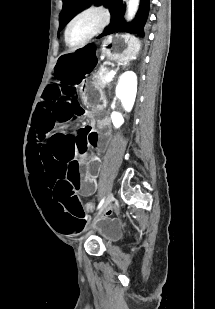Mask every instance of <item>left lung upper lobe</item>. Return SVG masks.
Segmentation results:
<instances>
[{"mask_svg": "<svg viewBox=\"0 0 215 309\" xmlns=\"http://www.w3.org/2000/svg\"><path fill=\"white\" fill-rule=\"evenodd\" d=\"M149 1L140 0L139 10L135 19L126 23L124 13L126 6L121 0H63V10L60 13V30L71 20V18L91 3H103L110 8L111 23L105 31L99 36L112 34L120 31H128L139 37L145 36L144 27L147 23L149 14Z\"/></svg>", "mask_w": 215, "mask_h": 309, "instance_id": "1", "label": "left lung upper lobe"}]
</instances>
